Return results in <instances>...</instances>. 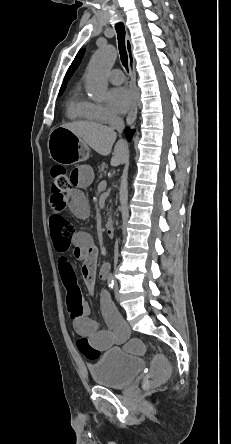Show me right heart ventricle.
<instances>
[{"label":"right heart ventricle","instance_id":"e07e8e85","mask_svg":"<svg viewBox=\"0 0 231 444\" xmlns=\"http://www.w3.org/2000/svg\"><path fill=\"white\" fill-rule=\"evenodd\" d=\"M67 115L70 119L73 120H95L91 113L89 102L86 101L78 92L73 93L68 101Z\"/></svg>","mask_w":231,"mask_h":444}]
</instances>
